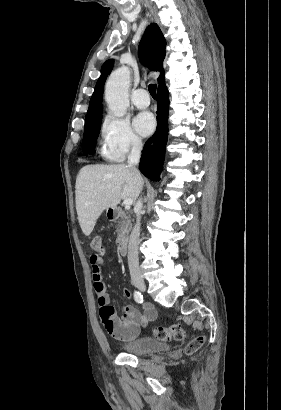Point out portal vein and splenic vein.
I'll list each match as a JSON object with an SVG mask.
<instances>
[{
  "label": "portal vein and splenic vein",
  "mask_w": 281,
  "mask_h": 410,
  "mask_svg": "<svg viewBox=\"0 0 281 410\" xmlns=\"http://www.w3.org/2000/svg\"><path fill=\"white\" fill-rule=\"evenodd\" d=\"M123 203H124V205H125V208H126V209H129V208L131 207L132 203H133V200H132V199H125V200L123 201Z\"/></svg>",
  "instance_id": "18ae733b"
}]
</instances>
